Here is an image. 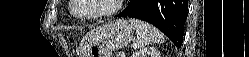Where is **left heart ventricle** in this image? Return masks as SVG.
I'll return each instance as SVG.
<instances>
[{"mask_svg": "<svg viewBox=\"0 0 249 57\" xmlns=\"http://www.w3.org/2000/svg\"><path fill=\"white\" fill-rule=\"evenodd\" d=\"M112 3L113 0H78L75 12L80 16L95 14L108 10Z\"/></svg>", "mask_w": 249, "mask_h": 57, "instance_id": "obj_1", "label": "left heart ventricle"}]
</instances>
